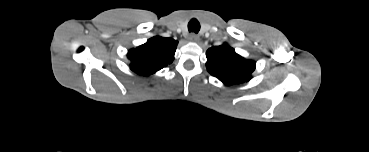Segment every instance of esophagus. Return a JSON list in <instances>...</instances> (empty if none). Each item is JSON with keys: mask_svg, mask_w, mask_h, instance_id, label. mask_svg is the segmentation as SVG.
<instances>
[{"mask_svg": "<svg viewBox=\"0 0 369 152\" xmlns=\"http://www.w3.org/2000/svg\"><path fill=\"white\" fill-rule=\"evenodd\" d=\"M189 40L191 42H198L200 40L199 36L195 33H191L189 36Z\"/></svg>", "mask_w": 369, "mask_h": 152, "instance_id": "obj_1", "label": "esophagus"}]
</instances>
